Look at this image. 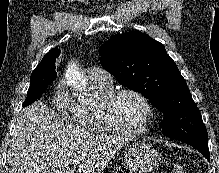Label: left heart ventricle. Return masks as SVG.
<instances>
[{"label": "left heart ventricle", "mask_w": 219, "mask_h": 173, "mask_svg": "<svg viewBox=\"0 0 219 173\" xmlns=\"http://www.w3.org/2000/svg\"><path fill=\"white\" fill-rule=\"evenodd\" d=\"M114 114L121 128L135 131L142 127L146 110L139 98L131 94H124L117 100Z\"/></svg>", "instance_id": "b2bd125f"}]
</instances>
